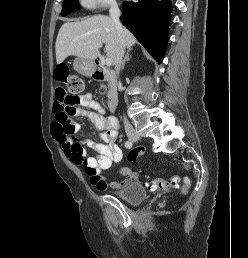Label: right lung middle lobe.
I'll list each match as a JSON object with an SVG mask.
<instances>
[{"mask_svg": "<svg viewBox=\"0 0 248 258\" xmlns=\"http://www.w3.org/2000/svg\"><path fill=\"white\" fill-rule=\"evenodd\" d=\"M78 9V0H64L61 15L65 16L68 13L76 11Z\"/></svg>", "mask_w": 248, "mask_h": 258, "instance_id": "right-lung-middle-lobe-1", "label": "right lung middle lobe"}]
</instances>
